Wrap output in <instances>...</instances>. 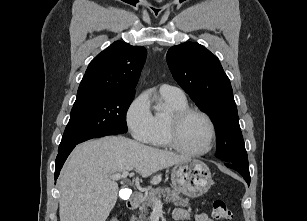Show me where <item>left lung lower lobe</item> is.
Returning a JSON list of instances; mask_svg holds the SVG:
<instances>
[{
	"mask_svg": "<svg viewBox=\"0 0 307 221\" xmlns=\"http://www.w3.org/2000/svg\"><path fill=\"white\" fill-rule=\"evenodd\" d=\"M225 165L228 168L234 169L237 172H239L244 177V179L246 180L248 185L250 184V174H249V169L248 168H244V167H241L239 165L232 164V163H226Z\"/></svg>",
	"mask_w": 307,
	"mask_h": 221,
	"instance_id": "left-lung-lower-lobe-1",
	"label": "left lung lower lobe"
}]
</instances>
